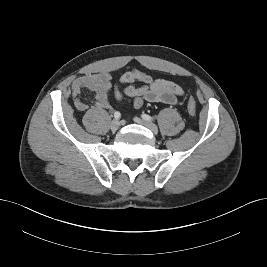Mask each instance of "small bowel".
Returning a JSON list of instances; mask_svg holds the SVG:
<instances>
[{"instance_id": "1", "label": "small bowel", "mask_w": 267, "mask_h": 267, "mask_svg": "<svg viewBox=\"0 0 267 267\" xmlns=\"http://www.w3.org/2000/svg\"><path fill=\"white\" fill-rule=\"evenodd\" d=\"M135 81L143 83L141 87L131 84ZM121 87L113 84L112 74L109 72L87 74L77 77L72 83V96L78 111L84 112L89 108L81 98L83 90L94 93V106L98 109H110L108 94L114 90L117 101L125 98L134 108H140L145 102L175 104L184 95L183 89L169 79H154L147 72L132 68L125 71L119 79Z\"/></svg>"}]
</instances>
